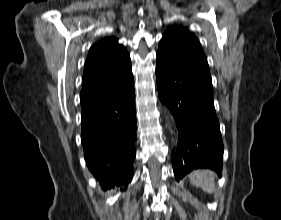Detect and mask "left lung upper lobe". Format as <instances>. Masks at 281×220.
Wrapping results in <instances>:
<instances>
[{"label":"left lung upper lobe","mask_w":281,"mask_h":220,"mask_svg":"<svg viewBox=\"0 0 281 220\" xmlns=\"http://www.w3.org/2000/svg\"><path fill=\"white\" fill-rule=\"evenodd\" d=\"M157 54L161 56L180 55L209 69L207 58L200 42L186 27L170 26L160 41Z\"/></svg>","instance_id":"5c2ea615"}]
</instances>
